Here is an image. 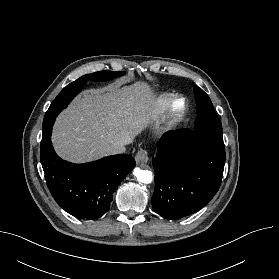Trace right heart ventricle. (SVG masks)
I'll return each instance as SVG.
<instances>
[{
  "label": "right heart ventricle",
  "mask_w": 279,
  "mask_h": 279,
  "mask_svg": "<svg viewBox=\"0 0 279 279\" xmlns=\"http://www.w3.org/2000/svg\"><path fill=\"white\" fill-rule=\"evenodd\" d=\"M173 94L170 93H163L160 94L154 101V112L157 115L162 114L163 112H165V109L168 105V103L170 102V100L173 98Z\"/></svg>",
  "instance_id": "obj_1"
}]
</instances>
